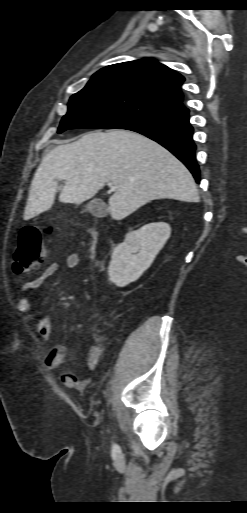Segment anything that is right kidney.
Masks as SVG:
<instances>
[{
    "label": "right kidney",
    "instance_id": "right-kidney-1",
    "mask_svg": "<svg viewBox=\"0 0 247 513\" xmlns=\"http://www.w3.org/2000/svg\"><path fill=\"white\" fill-rule=\"evenodd\" d=\"M171 234L169 224L150 223L126 235L113 251L108 267L111 282L124 287L136 281L152 264Z\"/></svg>",
    "mask_w": 247,
    "mask_h": 513
}]
</instances>
